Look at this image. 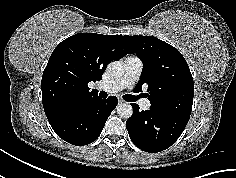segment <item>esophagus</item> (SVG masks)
Here are the masks:
<instances>
[{"label":"esophagus","mask_w":236,"mask_h":178,"mask_svg":"<svg viewBox=\"0 0 236 178\" xmlns=\"http://www.w3.org/2000/svg\"><path fill=\"white\" fill-rule=\"evenodd\" d=\"M123 102H124V100H122V99H119V100H118V103H119V104H122Z\"/></svg>","instance_id":"34e87169"}]
</instances>
